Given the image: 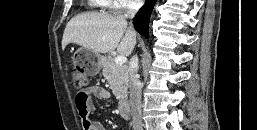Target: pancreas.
<instances>
[{"label":"pancreas","mask_w":257,"mask_h":130,"mask_svg":"<svg viewBox=\"0 0 257 130\" xmlns=\"http://www.w3.org/2000/svg\"><path fill=\"white\" fill-rule=\"evenodd\" d=\"M103 76L108 81L114 96L123 100L127 96L128 70L125 65H118L111 58L107 59L103 66Z\"/></svg>","instance_id":"1"}]
</instances>
